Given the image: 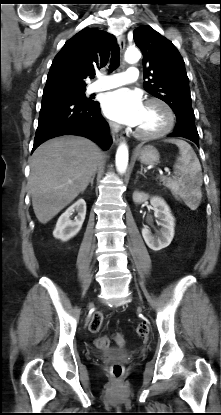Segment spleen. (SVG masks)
<instances>
[{"label": "spleen", "instance_id": "1", "mask_svg": "<svg viewBox=\"0 0 221 415\" xmlns=\"http://www.w3.org/2000/svg\"><path fill=\"white\" fill-rule=\"evenodd\" d=\"M167 142L176 144L180 151L174 164L176 177L169 178L167 185L176 192L192 209L200 204L202 193V169L192 147L180 139H168Z\"/></svg>", "mask_w": 221, "mask_h": 415}]
</instances>
